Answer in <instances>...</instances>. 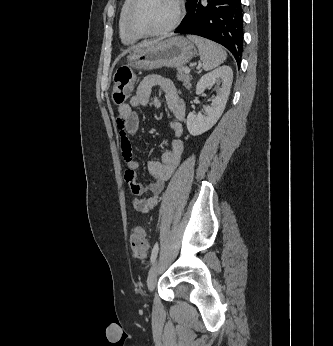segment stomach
Returning a JSON list of instances; mask_svg holds the SVG:
<instances>
[{
    "mask_svg": "<svg viewBox=\"0 0 333 346\" xmlns=\"http://www.w3.org/2000/svg\"><path fill=\"white\" fill-rule=\"evenodd\" d=\"M197 55L195 45L178 36L136 48L127 57L128 65L138 70L161 67L180 68Z\"/></svg>",
    "mask_w": 333,
    "mask_h": 346,
    "instance_id": "stomach-1",
    "label": "stomach"
}]
</instances>
